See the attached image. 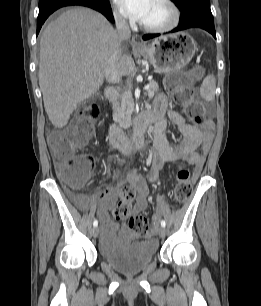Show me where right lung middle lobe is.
Here are the masks:
<instances>
[{"mask_svg": "<svg viewBox=\"0 0 261 306\" xmlns=\"http://www.w3.org/2000/svg\"><path fill=\"white\" fill-rule=\"evenodd\" d=\"M98 1H102V2H109V0H98Z\"/></svg>", "mask_w": 261, "mask_h": 306, "instance_id": "1", "label": "right lung middle lobe"}]
</instances>
